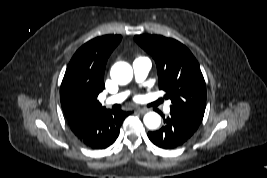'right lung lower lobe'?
<instances>
[{
	"instance_id": "right-lung-lower-lobe-1",
	"label": "right lung lower lobe",
	"mask_w": 267,
	"mask_h": 178,
	"mask_svg": "<svg viewBox=\"0 0 267 178\" xmlns=\"http://www.w3.org/2000/svg\"><path fill=\"white\" fill-rule=\"evenodd\" d=\"M128 114L120 109L104 108L75 115L67 121L69 128L83 145L91 149H105L117 139L120 126Z\"/></svg>"
}]
</instances>
